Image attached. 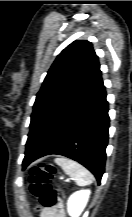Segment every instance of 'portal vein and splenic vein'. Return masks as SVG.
<instances>
[{
  "instance_id": "18ae733b",
  "label": "portal vein and splenic vein",
  "mask_w": 132,
  "mask_h": 217,
  "mask_svg": "<svg viewBox=\"0 0 132 217\" xmlns=\"http://www.w3.org/2000/svg\"><path fill=\"white\" fill-rule=\"evenodd\" d=\"M65 181H66V182H69V180H68V179H66Z\"/></svg>"
}]
</instances>
